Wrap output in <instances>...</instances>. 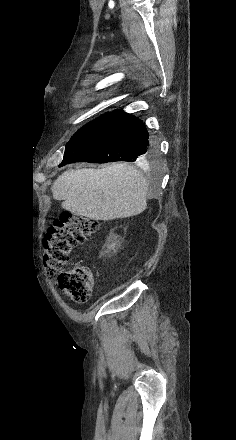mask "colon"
<instances>
[{"instance_id":"obj_1","label":"colon","mask_w":236,"mask_h":440,"mask_svg":"<svg viewBox=\"0 0 236 440\" xmlns=\"http://www.w3.org/2000/svg\"><path fill=\"white\" fill-rule=\"evenodd\" d=\"M95 220L64 212L46 234L44 266L48 274L56 276L59 289L77 303L90 299L94 278L89 267L74 265L64 269L72 251L90 239L97 231Z\"/></svg>"}]
</instances>
